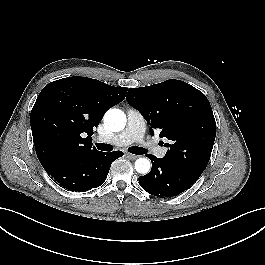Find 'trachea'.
<instances>
[{"label": "trachea", "mask_w": 265, "mask_h": 265, "mask_svg": "<svg viewBox=\"0 0 265 265\" xmlns=\"http://www.w3.org/2000/svg\"><path fill=\"white\" fill-rule=\"evenodd\" d=\"M97 148L101 151H112L113 150V146L110 144H104V143H97L96 144ZM128 151L132 154H136V155H142L145 154L147 152L146 149L142 148V147H137V146H133L130 147L128 149Z\"/></svg>", "instance_id": "obj_1"}]
</instances>
